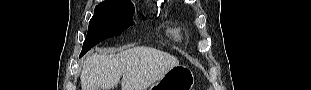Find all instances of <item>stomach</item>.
<instances>
[{"instance_id": "0dacf381", "label": "stomach", "mask_w": 311, "mask_h": 90, "mask_svg": "<svg viewBox=\"0 0 311 90\" xmlns=\"http://www.w3.org/2000/svg\"><path fill=\"white\" fill-rule=\"evenodd\" d=\"M194 83L193 72L186 66L177 65L151 85L149 90H193Z\"/></svg>"}]
</instances>
